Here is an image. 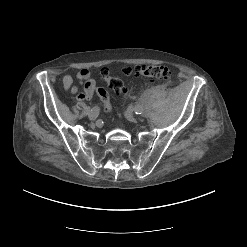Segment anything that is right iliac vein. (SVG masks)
<instances>
[{
    "label": "right iliac vein",
    "instance_id": "1",
    "mask_svg": "<svg viewBox=\"0 0 247 247\" xmlns=\"http://www.w3.org/2000/svg\"><path fill=\"white\" fill-rule=\"evenodd\" d=\"M98 115V109L92 108L91 112L88 113V118L90 121H94L97 118Z\"/></svg>",
    "mask_w": 247,
    "mask_h": 247
}]
</instances>
